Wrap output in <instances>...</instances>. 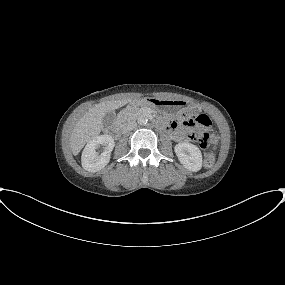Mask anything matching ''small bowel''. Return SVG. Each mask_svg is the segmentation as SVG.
Here are the masks:
<instances>
[{
	"label": "small bowel",
	"mask_w": 285,
	"mask_h": 285,
	"mask_svg": "<svg viewBox=\"0 0 285 285\" xmlns=\"http://www.w3.org/2000/svg\"><path fill=\"white\" fill-rule=\"evenodd\" d=\"M170 127L172 128V137L174 140L181 141L184 139V132L180 128H178V124L176 121H172Z\"/></svg>",
	"instance_id": "c3829d8e"
}]
</instances>
